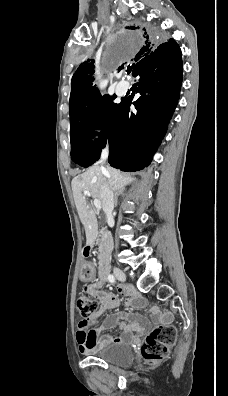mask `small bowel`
I'll return each instance as SVG.
<instances>
[{"label":"small bowel","instance_id":"c3829d8e","mask_svg":"<svg viewBox=\"0 0 228 396\" xmlns=\"http://www.w3.org/2000/svg\"><path fill=\"white\" fill-rule=\"evenodd\" d=\"M82 273L86 278L92 277L94 274L92 265L85 263L82 268ZM106 282L107 277L106 272H104L99 275L95 283L85 287V291L99 302L98 310L91 317L90 322L92 323L96 322L103 313L116 308L120 303L116 294L101 290V287ZM143 305L144 301L136 294H132L125 302V306L129 308H141ZM119 321H121L119 327L123 332L121 337L115 338L111 335L100 336L103 330L114 327ZM148 326V321L137 314L127 312L110 314L99 326L88 331L79 326L76 334L79 351L83 354H88L99 347L125 341L130 339L134 332H143Z\"/></svg>","mask_w":228,"mask_h":396}]
</instances>
